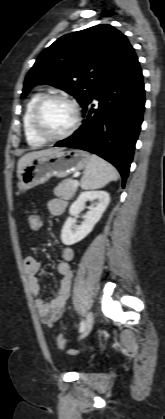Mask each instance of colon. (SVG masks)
<instances>
[{"mask_svg":"<svg viewBox=\"0 0 165 419\" xmlns=\"http://www.w3.org/2000/svg\"><path fill=\"white\" fill-rule=\"evenodd\" d=\"M29 227L33 231H37L40 228L41 219L36 213H31L28 216ZM56 343L61 350H67L68 344L65 338L61 334L56 335Z\"/></svg>","mask_w":165,"mask_h":419,"instance_id":"1","label":"colon"}]
</instances>
